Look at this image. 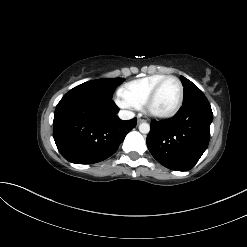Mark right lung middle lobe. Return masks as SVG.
<instances>
[{
    "label": "right lung middle lobe",
    "instance_id": "right-lung-middle-lobe-1",
    "mask_svg": "<svg viewBox=\"0 0 247 247\" xmlns=\"http://www.w3.org/2000/svg\"><path fill=\"white\" fill-rule=\"evenodd\" d=\"M124 80V78H112L88 81L74 87L70 91L83 93H98L112 98L116 87L119 86Z\"/></svg>",
    "mask_w": 247,
    "mask_h": 247
}]
</instances>
